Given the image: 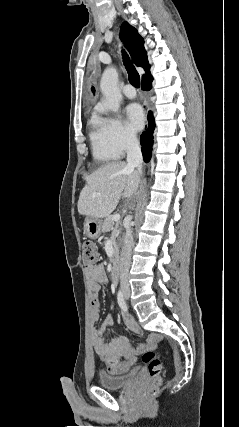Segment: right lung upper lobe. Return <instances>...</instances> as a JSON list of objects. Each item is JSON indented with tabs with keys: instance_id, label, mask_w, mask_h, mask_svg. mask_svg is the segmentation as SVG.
I'll return each instance as SVG.
<instances>
[{
	"instance_id": "cb5924a9",
	"label": "right lung upper lobe",
	"mask_w": 239,
	"mask_h": 427,
	"mask_svg": "<svg viewBox=\"0 0 239 427\" xmlns=\"http://www.w3.org/2000/svg\"><path fill=\"white\" fill-rule=\"evenodd\" d=\"M120 36L125 46L127 47L133 62L138 67H143L146 71V76H150V65L147 60L146 51L144 48V40L138 34V31L128 22H123L120 28Z\"/></svg>"
}]
</instances>
